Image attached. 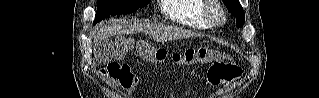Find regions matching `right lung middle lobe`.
Returning a JSON list of instances; mask_svg holds the SVG:
<instances>
[{
  "label": "right lung middle lobe",
  "instance_id": "dd1d6c3e",
  "mask_svg": "<svg viewBox=\"0 0 319 98\" xmlns=\"http://www.w3.org/2000/svg\"><path fill=\"white\" fill-rule=\"evenodd\" d=\"M151 0H97V11L93 24L113 15L132 13Z\"/></svg>",
  "mask_w": 319,
  "mask_h": 98
}]
</instances>
